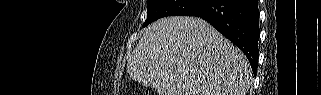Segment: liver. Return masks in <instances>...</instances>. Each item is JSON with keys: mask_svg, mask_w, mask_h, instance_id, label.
<instances>
[{"mask_svg": "<svg viewBox=\"0 0 321 95\" xmlns=\"http://www.w3.org/2000/svg\"><path fill=\"white\" fill-rule=\"evenodd\" d=\"M130 77L159 95H246L245 55L209 23L167 17L149 25L127 60Z\"/></svg>", "mask_w": 321, "mask_h": 95, "instance_id": "liver-1", "label": "liver"}]
</instances>
